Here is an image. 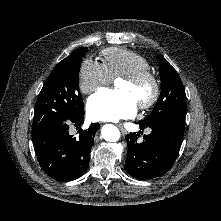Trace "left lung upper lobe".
<instances>
[{
    "instance_id": "1",
    "label": "left lung upper lobe",
    "mask_w": 221,
    "mask_h": 221,
    "mask_svg": "<svg viewBox=\"0 0 221 221\" xmlns=\"http://www.w3.org/2000/svg\"><path fill=\"white\" fill-rule=\"evenodd\" d=\"M161 78V94L151 114L143 123H151L173 114H186L184 86L176 70L162 56H158Z\"/></svg>"
}]
</instances>
